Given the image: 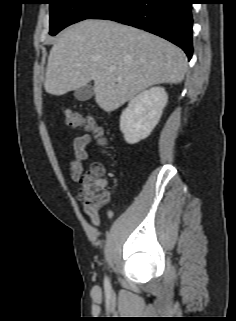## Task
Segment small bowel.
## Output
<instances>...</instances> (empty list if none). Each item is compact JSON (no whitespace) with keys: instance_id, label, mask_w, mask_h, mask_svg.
<instances>
[{"instance_id":"c3829d8e","label":"small bowel","mask_w":236,"mask_h":321,"mask_svg":"<svg viewBox=\"0 0 236 321\" xmlns=\"http://www.w3.org/2000/svg\"><path fill=\"white\" fill-rule=\"evenodd\" d=\"M92 137L90 134H78L72 140V157L69 162L70 177L74 182H79L83 177L84 161L88 159V152L86 147L91 143ZM102 183L106 187L108 182L102 179ZM83 211L89 216L92 224L100 225L101 216L99 208H94L80 199ZM111 216V213H108Z\"/></svg>"}]
</instances>
